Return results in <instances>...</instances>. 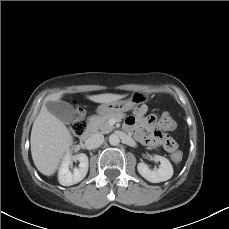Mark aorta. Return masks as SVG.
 Here are the masks:
<instances>
[{"label":"aorta","mask_w":229,"mask_h":229,"mask_svg":"<svg viewBox=\"0 0 229 229\" xmlns=\"http://www.w3.org/2000/svg\"><path fill=\"white\" fill-rule=\"evenodd\" d=\"M109 143L112 145V146H116L120 143V138L118 135L116 134H111L109 136Z\"/></svg>","instance_id":"1"}]
</instances>
